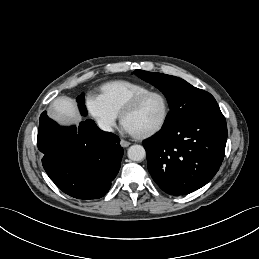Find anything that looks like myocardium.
<instances>
[{
    "mask_svg": "<svg viewBox=\"0 0 259 259\" xmlns=\"http://www.w3.org/2000/svg\"><path fill=\"white\" fill-rule=\"evenodd\" d=\"M150 96H159L163 103H164V115L162 117V120L160 121V123L154 127L153 129H151L150 131L143 133V134H134V136L136 138L139 139H146V138H150L154 135H156L157 133H159L166 125L169 116H170V112H171V106H170V101L168 99V97L161 91H156V90H150L148 92H145L143 94H140L138 96H136L135 98H133L125 107L124 109L121 111L120 113V121L122 124H124V120L127 117V115H129L130 113H132L133 111H135L138 106L148 97Z\"/></svg>",
    "mask_w": 259,
    "mask_h": 259,
    "instance_id": "obj_1",
    "label": "myocardium"
}]
</instances>
